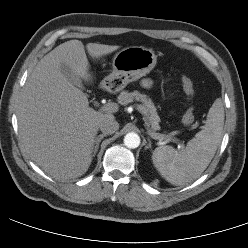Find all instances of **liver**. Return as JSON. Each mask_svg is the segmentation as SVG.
<instances>
[{
	"instance_id": "1",
	"label": "liver",
	"mask_w": 248,
	"mask_h": 248,
	"mask_svg": "<svg viewBox=\"0 0 248 248\" xmlns=\"http://www.w3.org/2000/svg\"><path fill=\"white\" fill-rule=\"evenodd\" d=\"M119 48L98 43L86 45L93 59ZM62 65L68 66L79 79L92 80L83 43H62L45 55L28 77L17 117L20 141L29 157L49 176L67 180L87 172L99 124L114 116L90 108L86 95L61 72Z\"/></svg>"
}]
</instances>
